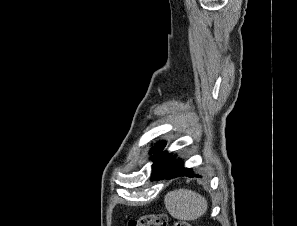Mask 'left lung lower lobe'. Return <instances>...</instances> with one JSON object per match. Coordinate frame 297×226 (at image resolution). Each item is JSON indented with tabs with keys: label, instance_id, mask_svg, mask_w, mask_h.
<instances>
[{
	"label": "left lung lower lobe",
	"instance_id": "0a47b994",
	"mask_svg": "<svg viewBox=\"0 0 297 226\" xmlns=\"http://www.w3.org/2000/svg\"><path fill=\"white\" fill-rule=\"evenodd\" d=\"M177 176L193 177L194 172L191 169L185 168L180 159H175L172 154L164 152L152 170L151 180L171 179ZM196 176L200 177L199 175Z\"/></svg>",
	"mask_w": 297,
	"mask_h": 226
}]
</instances>
